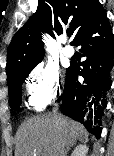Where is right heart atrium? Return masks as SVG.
<instances>
[{
    "mask_svg": "<svg viewBox=\"0 0 114 156\" xmlns=\"http://www.w3.org/2000/svg\"><path fill=\"white\" fill-rule=\"evenodd\" d=\"M29 105L36 111L43 110L61 93V78L58 70L49 65H37L26 79Z\"/></svg>",
    "mask_w": 114,
    "mask_h": 156,
    "instance_id": "obj_1",
    "label": "right heart atrium"
}]
</instances>
